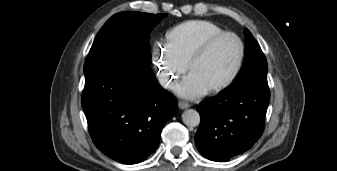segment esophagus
<instances>
[{"mask_svg": "<svg viewBox=\"0 0 337 171\" xmlns=\"http://www.w3.org/2000/svg\"><path fill=\"white\" fill-rule=\"evenodd\" d=\"M178 106L180 109H187L190 107V104L183 101H179Z\"/></svg>", "mask_w": 337, "mask_h": 171, "instance_id": "obj_1", "label": "esophagus"}]
</instances>
